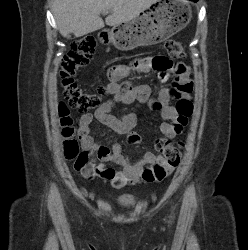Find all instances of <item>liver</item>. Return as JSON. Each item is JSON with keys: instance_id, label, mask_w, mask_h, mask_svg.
<instances>
[{"instance_id": "6515ba94", "label": "liver", "mask_w": 248, "mask_h": 250, "mask_svg": "<svg viewBox=\"0 0 248 250\" xmlns=\"http://www.w3.org/2000/svg\"><path fill=\"white\" fill-rule=\"evenodd\" d=\"M159 0H54L53 14L63 37H81L104 27L100 14L111 11L105 22L118 26L133 20Z\"/></svg>"}]
</instances>
